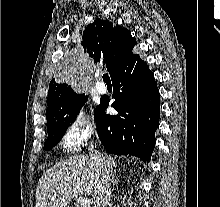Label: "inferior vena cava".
<instances>
[{"label":"inferior vena cava","mask_w":220,"mask_h":207,"mask_svg":"<svg viewBox=\"0 0 220 207\" xmlns=\"http://www.w3.org/2000/svg\"><path fill=\"white\" fill-rule=\"evenodd\" d=\"M90 158L98 171V177L94 188V207H108L111 198V170L105 163L104 156L90 147Z\"/></svg>","instance_id":"602c4592"}]
</instances>
